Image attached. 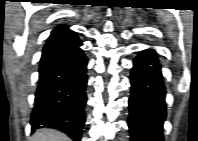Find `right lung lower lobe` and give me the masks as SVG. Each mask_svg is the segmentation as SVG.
Returning <instances> with one entry per match:
<instances>
[{"instance_id":"right-lung-lower-lobe-1","label":"right lung lower lobe","mask_w":198,"mask_h":141,"mask_svg":"<svg viewBox=\"0 0 198 141\" xmlns=\"http://www.w3.org/2000/svg\"><path fill=\"white\" fill-rule=\"evenodd\" d=\"M81 45L75 32L45 44L31 115L32 131L55 128L80 141L85 123L88 63Z\"/></svg>"}]
</instances>
